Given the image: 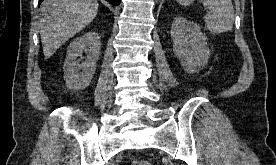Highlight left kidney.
I'll list each match as a JSON object with an SVG mask.
<instances>
[{"label":"left kidney","mask_w":276,"mask_h":165,"mask_svg":"<svg viewBox=\"0 0 276 165\" xmlns=\"http://www.w3.org/2000/svg\"><path fill=\"white\" fill-rule=\"evenodd\" d=\"M173 52L189 73H195L208 63L210 50L199 25L182 16L174 18L171 27Z\"/></svg>","instance_id":"1"}]
</instances>
